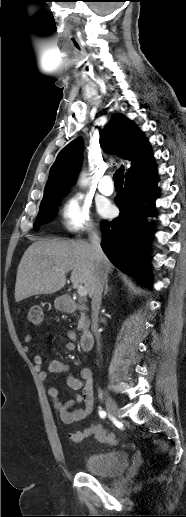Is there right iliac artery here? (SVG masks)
<instances>
[{
    "label": "right iliac artery",
    "instance_id": "1",
    "mask_svg": "<svg viewBox=\"0 0 186 517\" xmlns=\"http://www.w3.org/2000/svg\"><path fill=\"white\" fill-rule=\"evenodd\" d=\"M99 415H100L101 418H105L106 417V411H104L103 409L100 408Z\"/></svg>",
    "mask_w": 186,
    "mask_h": 517
}]
</instances>
